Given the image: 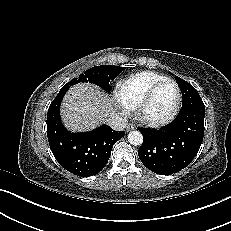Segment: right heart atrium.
Here are the masks:
<instances>
[{
    "label": "right heart atrium",
    "instance_id": "d8ad5b80",
    "mask_svg": "<svg viewBox=\"0 0 231 231\" xmlns=\"http://www.w3.org/2000/svg\"><path fill=\"white\" fill-rule=\"evenodd\" d=\"M128 110H129V108L127 106L123 105L122 112L127 113Z\"/></svg>",
    "mask_w": 231,
    "mask_h": 231
}]
</instances>
